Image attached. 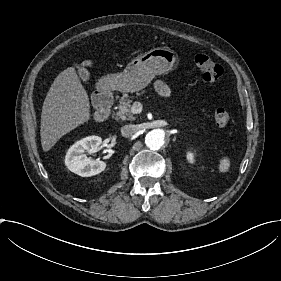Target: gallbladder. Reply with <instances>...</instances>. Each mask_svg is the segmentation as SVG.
<instances>
[{"mask_svg": "<svg viewBox=\"0 0 281 281\" xmlns=\"http://www.w3.org/2000/svg\"><path fill=\"white\" fill-rule=\"evenodd\" d=\"M74 69H75L76 71H79V70L81 69V66H80L79 64H76V65L74 66ZM79 74H80V77L82 78L83 81H86L87 79H89V73H88V71H86V70H84V69H81V70L79 71Z\"/></svg>", "mask_w": 281, "mask_h": 281, "instance_id": "1", "label": "gallbladder"}]
</instances>
